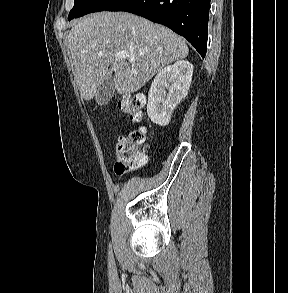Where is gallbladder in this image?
I'll return each mask as SVG.
<instances>
[{
  "instance_id": "bac80fb5",
  "label": "gallbladder",
  "mask_w": 288,
  "mask_h": 293,
  "mask_svg": "<svg viewBox=\"0 0 288 293\" xmlns=\"http://www.w3.org/2000/svg\"><path fill=\"white\" fill-rule=\"evenodd\" d=\"M115 82L113 76L104 81L97 89L95 100L98 105H106L113 97Z\"/></svg>"
}]
</instances>
